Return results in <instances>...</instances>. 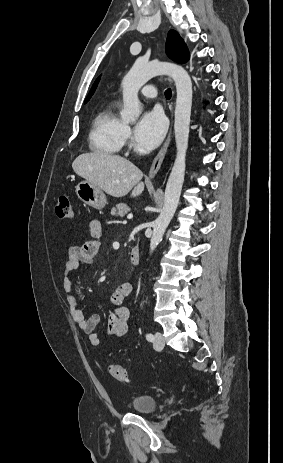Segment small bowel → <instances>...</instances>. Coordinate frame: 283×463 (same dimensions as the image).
Listing matches in <instances>:
<instances>
[{
    "label": "small bowel",
    "mask_w": 283,
    "mask_h": 463,
    "mask_svg": "<svg viewBox=\"0 0 283 463\" xmlns=\"http://www.w3.org/2000/svg\"><path fill=\"white\" fill-rule=\"evenodd\" d=\"M102 232V225L99 220L93 219L89 222V234L91 239L81 246H72L67 250V258L62 268V284L66 300L69 305L70 313L87 335L92 346L100 343V337L96 330L101 325V318L98 314L87 316L81 308V303L73 292L72 272L80 264L93 263L99 250V238ZM132 293V284L129 282L121 283L111 295V303L114 305L113 312L109 315L105 330L106 336L123 337L129 332L130 310L123 305L124 300Z\"/></svg>",
    "instance_id": "obj_1"
}]
</instances>
